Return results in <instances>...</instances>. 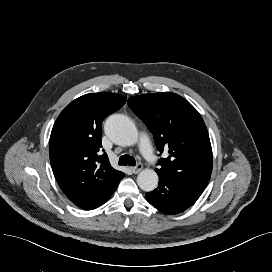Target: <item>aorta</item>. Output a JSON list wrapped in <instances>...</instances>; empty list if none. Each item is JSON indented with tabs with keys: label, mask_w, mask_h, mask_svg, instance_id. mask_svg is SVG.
Returning a JSON list of instances; mask_svg holds the SVG:
<instances>
[{
	"label": "aorta",
	"mask_w": 272,
	"mask_h": 272,
	"mask_svg": "<svg viewBox=\"0 0 272 272\" xmlns=\"http://www.w3.org/2000/svg\"><path fill=\"white\" fill-rule=\"evenodd\" d=\"M105 133L122 146L133 145L138 140V130L133 121L125 115L109 116L104 126ZM158 175L152 169H144L137 176V184L143 191H153L158 185Z\"/></svg>",
	"instance_id": "1"
}]
</instances>
